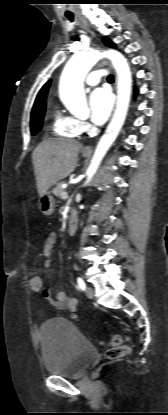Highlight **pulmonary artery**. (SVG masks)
I'll list each match as a JSON object with an SVG mask.
<instances>
[{
    "label": "pulmonary artery",
    "mask_w": 168,
    "mask_h": 415,
    "mask_svg": "<svg viewBox=\"0 0 168 415\" xmlns=\"http://www.w3.org/2000/svg\"><path fill=\"white\" fill-rule=\"evenodd\" d=\"M104 75L105 72L103 70H95L86 77L85 82L89 86L97 85Z\"/></svg>",
    "instance_id": "e3ab8cb5"
}]
</instances>
